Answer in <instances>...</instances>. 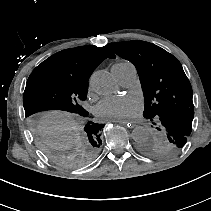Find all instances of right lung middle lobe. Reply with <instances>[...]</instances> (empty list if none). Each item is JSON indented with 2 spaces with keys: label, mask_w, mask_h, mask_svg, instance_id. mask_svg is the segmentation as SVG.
<instances>
[{
  "label": "right lung middle lobe",
  "mask_w": 211,
  "mask_h": 211,
  "mask_svg": "<svg viewBox=\"0 0 211 211\" xmlns=\"http://www.w3.org/2000/svg\"><path fill=\"white\" fill-rule=\"evenodd\" d=\"M88 80L51 73H32L23 96L25 115L41 151L55 164L64 168H78L90 164L100 151L101 130L104 124L86 121L88 112L81 106L87 96ZM55 110L80 115L79 131L84 146L67 151L58 145L62 135L70 129Z\"/></svg>",
  "instance_id": "right-lung-middle-lobe-1"
}]
</instances>
